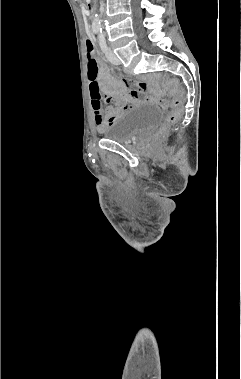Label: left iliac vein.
Segmentation results:
<instances>
[{
    "label": "left iliac vein",
    "instance_id": "4c4485c4",
    "mask_svg": "<svg viewBox=\"0 0 241 379\" xmlns=\"http://www.w3.org/2000/svg\"><path fill=\"white\" fill-rule=\"evenodd\" d=\"M106 57L112 64H115V65L120 64L119 58L116 56V54L110 48H107Z\"/></svg>",
    "mask_w": 241,
    "mask_h": 379
}]
</instances>
